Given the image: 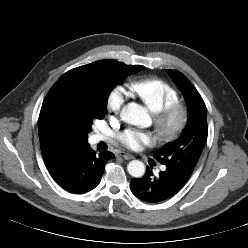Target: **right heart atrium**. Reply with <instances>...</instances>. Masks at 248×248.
<instances>
[{"mask_svg":"<svg viewBox=\"0 0 248 248\" xmlns=\"http://www.w3.org/2000/svg\"><path fill=\"white\" fill-rule=\"evenodd\" d=\"M127 99V93L120 85L114 86L108 93L106 98L107 110L119 114L122 110L125 101Z\"/></svg>","mask_w":248,"mask_h":248,"instance_id":"1","label":"right heart atrium"}]
</instances>
